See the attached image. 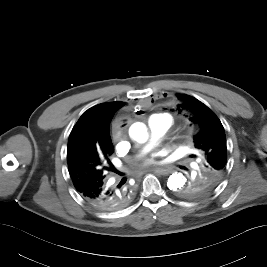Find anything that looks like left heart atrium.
<instances>
[{"label": "left heart atrium", "mask_w": 267, "mask_h": 267, "mask_svg": "<svg viewBox=\"0 0 267 267\" xmlns=\"http://www.w3.org/2000/svg\"><path fill=\"white\" fill-rule=\"evenodd\" d=\"M151 162V160H146V162H145V164L144 165H147V164H149Z\"/></svg>", "instance_id": "left-heart-atrium-1"}]
</instances>
